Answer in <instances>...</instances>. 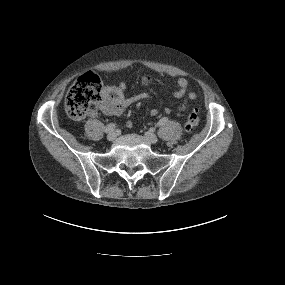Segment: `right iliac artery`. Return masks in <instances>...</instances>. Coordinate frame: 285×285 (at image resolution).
I'll use <instances>...</instances> for the list:
<instances>
[{"instance_id": "obj_1", "label": "right iliac artery", "mask_w": 285, "mask_h": 285, "mask_svg": "<svg viewBox=\"0 0 285 285\" xmlns=\"http://www.w3.org/2000/svg\"><path fill=\"white\" fill-rule=\"evenodd\" d=\"M115 128H116V124L110 123L105 127V132L109 133V132L113 131Z\"/></svg>"}]
</instances>
